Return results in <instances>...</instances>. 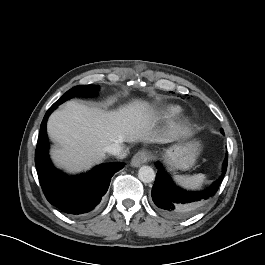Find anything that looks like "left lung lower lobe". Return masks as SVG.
I'll return each mask as SVG.
<instances>
[{
	"label": "left lung lower lobe",
	"mask_w": 265,
	"mask_h": 265,
	"mask_svg": "<svg viewBox=\"0 0 265 265\" xmlns=\"http://www.w3.org/2000/svg\"><path fill=\"white\" fill-rule=\"evenodd\" d=\"M224 134V131H221ZM228 155L223 163L222 175L209 188L186 191L176 186L163 166L157 162L158 172L152 188V200L160 213L172 219H183L202 210L216 194L227 170Z\"/></svg>",
	"instance_id": "1"
}]
</instances>
